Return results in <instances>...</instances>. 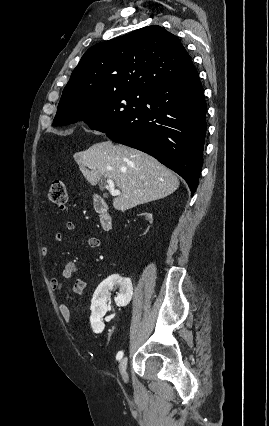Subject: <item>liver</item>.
Masks as SVG:
<instances>
[{
  "label": "liver",
  "mask_w": 269,
  "mask_h": 426,
  "mask_svg": "<svg viewBox=\"0 0 269 426\" xmlns=\"http://www.w3.org/2000/svg\"><path fill=\"white\" fill-rule=\"evenodd\" d=\"M73 157L91 185L102 177L114 181L121 192L113 206L120 211L162 199L180 184L174 172L155 158L111 141L96 143Z\"/></svg>",
  "instance_id": "liver-1"
}]
</instances>
